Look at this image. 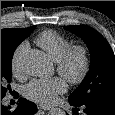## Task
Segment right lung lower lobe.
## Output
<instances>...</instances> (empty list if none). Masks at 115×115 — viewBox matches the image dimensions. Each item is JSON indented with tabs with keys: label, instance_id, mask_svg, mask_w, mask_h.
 Listing matches in <instances>:
<instances>
[{
	"label": "right lung lower lobe",
	"instance_id": "right-lung-lower-lobe-1",
	"mask_svg": "<svg viewBox=\"0 0 115 115\" xmlns=\"http://www.w3.org/2000/svg\"><path fill=\"white\" fill-rule=\"evenodd\" d=\"M36 111L35 103L24 98L19 99L18 107L15 110H11L10 106L6 107L1 103V115H33Z\"/></svg>",
	"mask_w": 115,
	"mask_h": 115
}]
</instances>
